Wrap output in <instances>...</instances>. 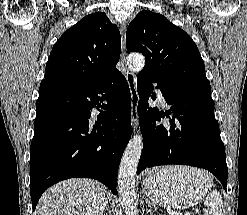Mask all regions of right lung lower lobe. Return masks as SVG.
I'll return each mask as SVG.
<instances>
[{"mask_svg":"<svg viewBox=\"0 0 247 215\" xmlns=\"http://www.w3.org/2000/svg\"><path fill=\"white\" fill-rule=\"evenodd\" d=\"M93 108L102 109L95 121ZM130 122V89L117 69L84 87L43 80L30 148L33 210L48 187L68 178L96 179L116 194Z\"/></svg>","mask_w":247,"mask_h":215,"instance_id":"98d812e1","label":"right lung lower lobe"}]
</instances>
